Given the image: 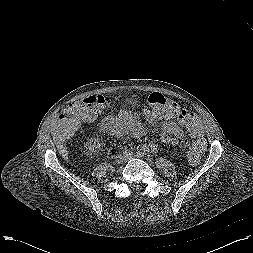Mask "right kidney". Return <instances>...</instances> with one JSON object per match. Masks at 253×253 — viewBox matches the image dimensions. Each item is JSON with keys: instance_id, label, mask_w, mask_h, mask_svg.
Masks as SVG:
<instances>
[{"instance_id": "right-kidney-1", "label": "right kidney", "mask_w": 253, "mask_h": 253, "mask_svg": "<svg viewBox=\"0 0 253 253\" xmlns=\"http://www.w3.org/2000/svg\"><path fill=\"white\" fill-rule=\"evenodd\" d=\"M85 154L92 158V155L97 154L102 146L99 138H91L85 143Z\"/></svg>"}]
</instances>
